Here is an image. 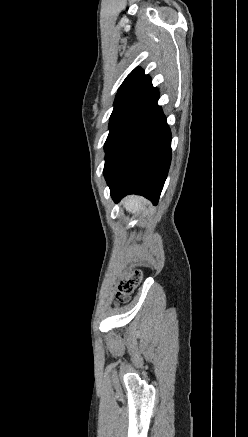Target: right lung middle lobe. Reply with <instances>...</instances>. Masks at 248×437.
Instances as JSON below:
<instances>
[{"label": "right lung middle lobe", "mask_w": 248, "mask_h": 437, "mask_svg": "<svg viewBox=\"0 0 248 437\" xmlns=\"http://www.w3.org/2000/svg\"><path fill=\"white\" fill-rule=\"evenodd\" d=\"M138 94H132L129 96H124L118 99H115L114 102V109L110 117V123H109V135L107 137V140L105 142V150L112 141L113 137L121 127L124 118L126 117L127 113L130 111L132 106L134 105L136 99L138 98Z\"/></svg>", "instance_id": "right-lung-middle-lobe-1"}]
</instances>
